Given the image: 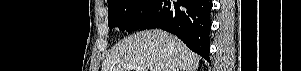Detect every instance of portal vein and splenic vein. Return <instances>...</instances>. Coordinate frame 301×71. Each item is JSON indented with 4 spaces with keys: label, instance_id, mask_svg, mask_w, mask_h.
<instances>
[{
    "label": "portal vein and splenic vein",
    "instance_id": "portal-vein-and-splenic-vein-1",
    "mask_svg": "<svg viewBox=\"0 0 301 71\" xmlns=\"http://www.w3.org/2000/svg\"><path fill=\"white\" fill-rule=\"evenodd\" d=\"M136 69L138 71H148V69H146L144 66H137Z\"/></svg>",
    "mask_w": 301,
    "mask_h": 71
}]
</instances>
